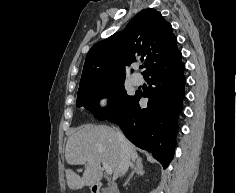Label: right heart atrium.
<instances>
[{"label":"right heart atrium","instance_id":"right-heart-atrium-1","mask_svg":"<svg viewBox=\"0 0 237 193\" xmlns=\"http://www.w3.org/2000/svg\"><path fill=\"white\" fill-rule=\"evenodd\" d=\"M110 103V96L109 95H103L101 96L99 99H98V106L101 107V108H106L108 107Z\"/></svg>","mask_w":237,"mask_h":193}]
</instances>
